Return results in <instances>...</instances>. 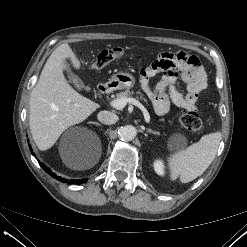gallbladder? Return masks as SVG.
I'll return each mask as SVG.
<instances>
[{
  "mask_svg": "<svg viewBox=\"0 0 247 247\" xmlns=\"http://www.w3.org/2000/svg\"><path fill=\"white\" fill-rule=\"evenodd\" d=\"M65 72L67 74L68 79L71 82H74L77 86H81L82 82L78 79V77L73 73L70 64L68 62H65Z\"/></svg>",
  "mask_w": 247,
  "mask_h": 247,
  "instance_id": "bac80fb5",
  "label": "gallbladder"
}]
</instances>
